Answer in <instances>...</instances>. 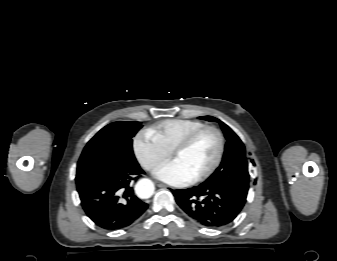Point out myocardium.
I'll list each match as a JSON object with an SVG mask.
<instances>
[{
    "label": "myocardium",
    "mask_w": 337,
    "mask_h": 261,
    "mask_svg": "<svg viewBox=\"0 0 337 261\" xmlns=\"http://www.w3.org/2000/svg\"><path fill=\"white\" fill-rule=\"evenodd\" d=\"M207 131L214 132L217 135L219 142L218 152L211 166L203 173L193 178L192 182L194 183L201 182L209 178L220 166L225 152V137L222 131L219 128L211 125L200 127L190 132L171 152L172 157L175 158L178 154L187 150L201 134Z\"/></svg>",
    "instance_id": "myocardium-1"
}]
</instances>
